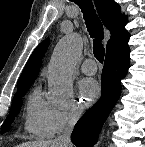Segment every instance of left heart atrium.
Listing matches in <instances>:
<instances>
[{"label": "left heart atrium", "mask_w": 145, "mask_h": 147, "mask_svg": "<svg viewBox=\"0 0 145 147\" xmlns=\"http://www.w3.org/2000/svg\"><path fill=\"white\" fill-rule=\"evenodd\" d=\"M79 92L87 104L94 102L100 95V87L96 80L83 79L79 84Z\"/></svg>", "instance_id": "1"}]
</instances>
